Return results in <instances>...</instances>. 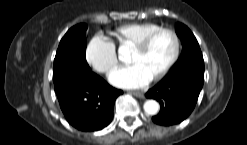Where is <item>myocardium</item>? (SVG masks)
<instances>
[{
    "instance_id": "1",
    "label": "myocardium",
    "mask_w": 247,
    "mask_h": 145,
    "mask_svg": "<svg viewBox=\"0 0 247 145\" xmlns=\"http://www.w3.org/2000/svg\"><path fill=\"white\" fill-rule=\"evenodd\" d=\"M162 33H168L172 36L173 41H174V50H173L172 56L170 60L168 61V63L153 76L152 78L153 80H158V79L163 78L166 74L170 72V70L176 64L179 58V55H180V50H181V41H180V37L178 33L172 28L161 27L149 33L148 35H146L143 39H141L138 43H136L133 46L134 50L143 52L149 47V45L154 40V38Z\"/></svg>"
}]
</instances>
